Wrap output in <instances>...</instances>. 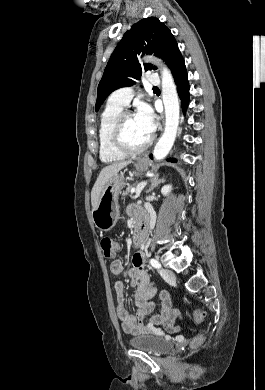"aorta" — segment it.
<instances>
[{
  "label": "aorta",
  "instance_id": "obj_1",
  "mask_svg": "<svg viewBox=\"0 0 265 390\" xmlns=\"http://www.w3.org/2000/svg\"><path fill=\"white\" fill-rule=\"evenodd\" d=\"M146 60L161 67L162 99L165 108L164 133L157 142L153 155L156 160L164 159L171 150L179 125V100L170 70L154 57H146Z\"/></svg>",
  "mask_w": 265,
  "mask_h": 390
}]
</instances>
